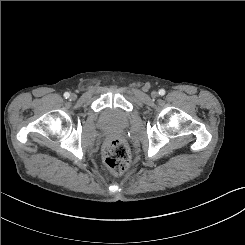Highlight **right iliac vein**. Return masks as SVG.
<instances>
[{
  "mask_svg": "<svg viewBox=\"0 0 245 245\" xmlns=\"http://www.w3.org/2000/svg\"><path fill=\"white\" fill-rule=\"evenodd\" d=\"M76 94H71V96H70V98L72 99V100H75L76 99Z\"/></svg>",
  "mask_w": 245,
  "mask_h": 245,
  "instance_id": "63e3f726",
  "label": "right iliac vein"
}]
</instances>
